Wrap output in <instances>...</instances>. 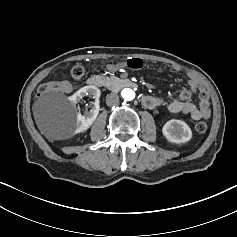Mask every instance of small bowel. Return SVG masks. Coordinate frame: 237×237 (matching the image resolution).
<instances>
[{"mask_svg": "<svg viewBox=\"0 0 237 237\" xmlns=\"http://www.w3.org/2000/svg\"><path fill=\"white\" fill-rule=\"evenodd\" d=\"M122 67L121 63H113L108 65L110 72H115ZM175 70H180V67H175ZM51 91L69 93L72 91L73 86L68 81L51 82ZM189 88L183 89L177 98L170 101L167 105L168 110L175 115L184 114L189 115L194 120L209 119L210 117V104L209 94L207 90L201 85L198 79L189 75L188 80ZM199 93V103L196 104L190 100L191 92ZM142 105L147 109H156L164 105V100L159 97L151 95H143L141 97Z\"/></svg>", "mask_w": 237, "mask_h": 237, "instance_id": "c3829d8e", "label": "small bowel"}]
</instances>
